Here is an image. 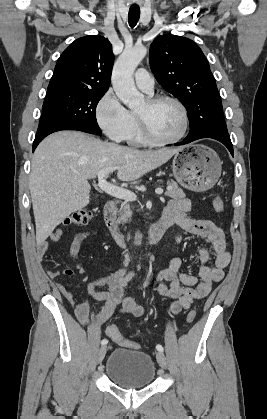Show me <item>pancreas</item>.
<instances>
[{"mask_svg": "<svg viewBox=\"0 0 267 419\" xmlns=\"http://www.w3.org/2000/svg\"><path fill=\"white\" fill-rule=\"evenodd\" d=\"M170 189L166 192V195L173 199H182L185 198V193L178 186V184L170 180L167 182ZM132 216V211L130 210V205L128 203H123L119 210L117 223H126L128 219Z\"/></svg>", "mask_w": 267, "mask_h": 419, "instance_id": "pancreas-1", "label": "pancreas"}]
</instances>
